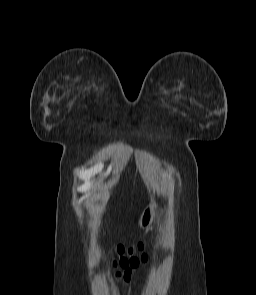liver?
Instances as JSON below:
<instances>
[{
  "mask_svg": "<svg viewBox=\"0 0 256 295\" xmlns=\"http://www.w3.org/2000/svg\"><path fill=\"white\" fill-rule=\"evenodd\" d=\"M99 189V193L98 194H93L92 199L94 200H101L102 201V205H98L97 207L93 208H89V212L91 214L97 213L107 202L108 198H109V194L107 191L106 186L100 185L98 187Z\"/></svg>",
  "mask_w": 256,
  "mask_h": 295,
  "instance_id": "6515ba94",
  "label": "liver"
}]
</instances>
